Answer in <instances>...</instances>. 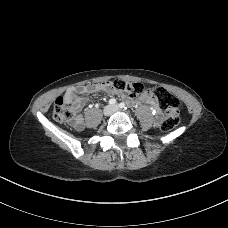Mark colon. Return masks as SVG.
Segmentation results:
<instances>
[{
    "label": "colon",
    "mask_w": 228,
    "mask_h": 228,
    "mask_svg": "<svg viewBox=\"0 0 228 228\" xmlns=\"http://www.w3.org/2000/svg\"><path fill=\"white\" fill-rule=\"evenodd\" d=\"M109 83L119 94L130 97H138L153 93L160 105L166 111L165 118L161 125V129L164 132L173 130L179 124V101L176 96L163 87L149 88L140 82H126L122 80H116ZM53 117L60 123L72 122L75 120V111L70 103L63 97H58L54 103Z\"/></svg>",
    "instance_id": "5ec220e1"
}]
</instances>
